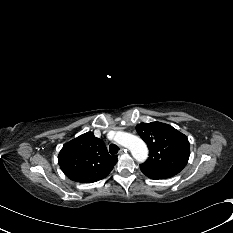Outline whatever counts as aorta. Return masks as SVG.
<instances>
[{"instance_id": "1", "label": "aorta", "mask_w": 233, "mask_h": 233, "mask_svg": "<svg viewBox=\"0 0 233 233\" xmlns=\"http://www.w3.org/2000/svg\"><path fill=\"white\" fill-rule=\"evenodd\" d=\"M114 140L118 144L128 148L136 161L144 162L147 159L148 149L141 138L130 133L117 132Z\"/></svg>"}]
</instances>
